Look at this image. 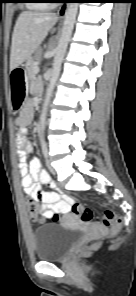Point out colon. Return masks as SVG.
Masks as SVG:
<instances>
[{"label": "colon", "instance_id": "5ec220e1", "mask_svg": "<svg viewBox=\"0 0 136 296\" xmlns=\"http://www.w3.org/2000/svg\"><path fill=\"white\" fill-rule=\"evenodd\" d=\"M26 210L30 215H37L39 211V204L36 201L29 200L25 204ZM71 211L76 215L83 223H89L93 220L113 229H119L121 227V220L116 217L112 211H106L102 216L95 217L91 209L83 206L78 202H73L71 205Z\"/></svg>", "mask_w": 136, "mask_h": 296}]
</instances>
